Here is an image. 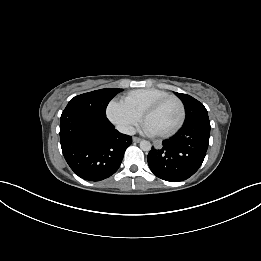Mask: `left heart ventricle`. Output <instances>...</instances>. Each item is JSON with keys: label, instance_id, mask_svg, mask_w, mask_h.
I'll list each match as a JSON object with an SVG mask.
<instances>
[{"label": "left heart ventricle", "instance_id": "obj_1", "mask_svg": "<svg viewBox=\"0 0 261 261\" xmlns=\"http://www.w3.org/2000/svg\"><path fill=\"white\" fill-rule=\"evenodd\" d=\"M180 119V108L176 101L170 100L151 113L145 120L155 133L171 130Z\"/></svg>", "mask_w": 261, "mask_h": 261}]
</instances>
